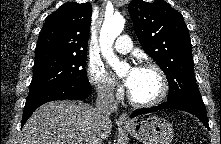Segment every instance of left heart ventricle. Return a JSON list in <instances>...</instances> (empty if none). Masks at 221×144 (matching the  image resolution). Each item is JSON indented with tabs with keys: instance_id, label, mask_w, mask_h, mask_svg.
Returning <instances> with one entry per match:
<instances>
[{
	"instance_id": "b2bd125f",
	"label": "left heart ventricle",
	"mask_w": 221,
	"mask_h": 144,
	"mask_svg": "<svg viewBox=\"0 0 221 144\" xmlns=\"http://www.w3.org/2000/svg\"><path fill=\"white\" fill-rule=\"evenodd\" d=\"M129 72H127L126 76H128ZM160 88V79L154 70L137 69L130 92L137 100L148 101L159 94Z\"/></svg>"
}]
</instances>
